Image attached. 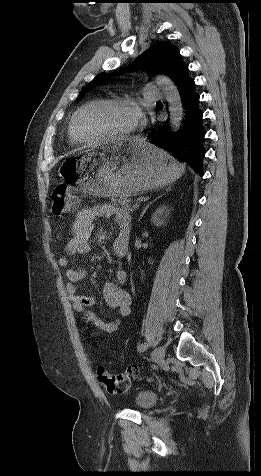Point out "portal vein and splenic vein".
Listing matches in <instances>:
<instances>
[{"label":"portal vein and splenic vein","mask_w":261,"mask_h":476,"mask_svg":"<svg viewBox=\"0 0 261 476\" xmlns=\"http://www.w3.org/2000/svg\"><path fill=\"white\" fill-rule=\"evenodd\" d=\"M139 206H140L139 202H135L133 205L134 208H139Z\"/></svg>","instance_id":"18ae733b"}]
</instances>
